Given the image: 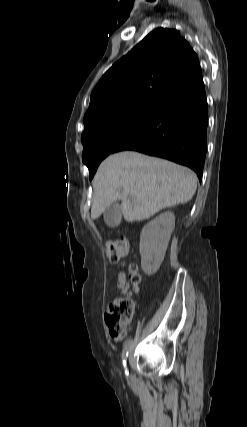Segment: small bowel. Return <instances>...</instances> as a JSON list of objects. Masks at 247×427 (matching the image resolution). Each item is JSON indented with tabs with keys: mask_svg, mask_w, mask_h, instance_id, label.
<instances>
[{
	"mask_svg": "<svg viewBox=\"0 0 247 427\" xmlns=\"http://www.w3.org/2000/svg\"><path fill=\"white\" fill-rule=\"evenodd\" d=\"M122 265H125V262L122 263ZM118 288L122 291V293H127L128 290V282L126 274L122 271L118 274V282H117Z\"/></svg>",
	"mask_w": 247,
	"mask_h": 427,
	"instance_id": "obj_1",
	"label": "small bowel"
}]
</instances>
